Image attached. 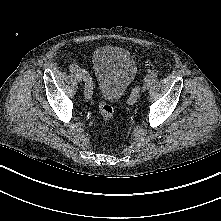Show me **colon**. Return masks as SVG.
Instances as JSON below:
<instances>
[{
    "instance_id": "5ec220e1",
    "label": "colon",
    "mask_w": 221,
    "mask_h": 221,
    "mask_svg": "<svg viewBox=\"0 0 221 221\" xmlns=\"http://www.w3.org/2000/svg\"><path fill=\"white\" fill-rule=\"evenodd\" d=\"M99 108L102 118L106 122H112L114 119V110L112 106L105 101H100Z\"/></svg>"
}]
</instances>
